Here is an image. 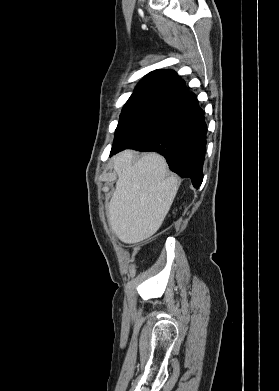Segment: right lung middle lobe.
Segmentation results:
<instances>
[{
  "label": "right lung middle lobe",
  "mask_w": 279,
  "mask_h": 391,
  "mask_svg": "<svg viewBox=\"0 0 279 391\" xmlns=\"http://www.w3.org/2000/svg\"><path fill=\"white\" fill-rule=\"evenodd\" d=\"M161 109L162 108L141 107L122 110L111 151L125 145L145 130Z\"/></svg>",
  "instance_id": "dd1d6c3e"
}]
</instances>
